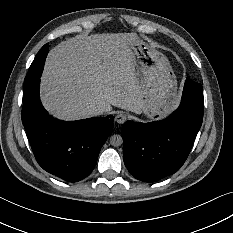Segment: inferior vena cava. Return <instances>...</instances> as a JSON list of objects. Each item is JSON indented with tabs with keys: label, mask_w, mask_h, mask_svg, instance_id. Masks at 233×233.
<instances>
[{
	"label": "inferior vena cava",
	"mask_w": 233,
	"mask_h": 233,
	"mask_svg": "<svg viewBox=\"0 0 233 233\" xmlns=\"http://www.w3.org/2000/svg\"><path fill=\"white\" fill-rule=\"evenodd\" d=\"M90 113L93 117L99 116L101 114L107 113V109L104 106H95L92 107Z\"/></svg>",
	"instance_id": "1"
}]
</instances>
